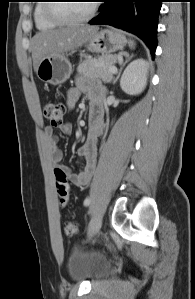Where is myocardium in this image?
Here are the masks:
<instances>
[{"mask_svg":"<svg viewBox=\"0 0 195 299\" xmlns=\"http://www.w3.org/2000/svg\"><path fill=\"white\" fill-rule=\"evenodd\" d=\"M49 2H55V1H49ZM58 4L59 3H46L45 14L49 20H51L52 22H55L59 25H76V24L86 23V22L90 21L96 15L97 10H98V3L93 2L89 12L85 16L80 17V18H68V17L59 15L55 11V7Z\"/></svg>","mask_w":195,"mask_h":299,"instance_id":"1","label":"myocardium"}]
</instances>
